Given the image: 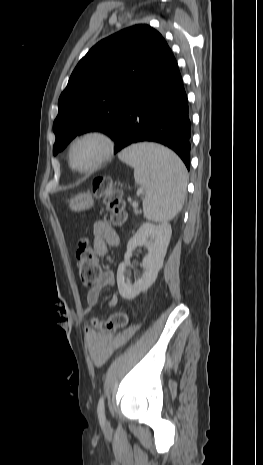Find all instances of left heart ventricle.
Segmentation results:
<instances>
[{
	"label": "left heart ventricle",
	"instance_id": "obj_1",
	"mask_svg": "<svg viewBox=\"0 0 263 465\" xmlns=\"http://www.w3.org/2000/svg\"><path fill=\"white\" fill-rule=\"evenodd\" d=\"M104 144L98 138H86L74 146L72 161L75 167L85 169L92 166L102 155Z\"/></svg>",
	"mask_w": 263,
	"mask_h": 465
}]
</instances>
